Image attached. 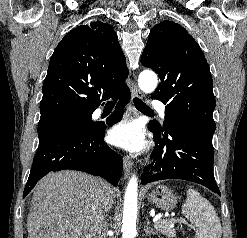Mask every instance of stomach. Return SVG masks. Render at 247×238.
<instances>
[{
	"instance_id": "stomach-1",
	"label": "stomach",
	"mask_w": 247,
	"mask_h": 238,
	"mask_svg": "<svg viewBox=\"0 0 247 238\" xmlns=\"http://www.w3.org/2000/svg\"><path fill=\"white\" fill-rule=\"evenodd\" d=\"M148 200L161 210L170 211L177 204V197L166 185L156 186L149 194Z\"/></svg>"
}]
</instances>
